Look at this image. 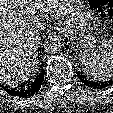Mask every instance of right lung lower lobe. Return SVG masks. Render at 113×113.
<instances>
[{
	"instance_id": "98d812e1",
	"label": "right lung lower lobe",
	"mask_w": 113,
	"mask_h": 113,
	"mask_svg": "<svg viewBox=\"0 0 113 113\" xmlns=\"http://www.w3.org/2000/svg\"><path fill=\"white\" fill-rule=\"evenodd\" d=\"M40 51L39 55L41 54V49H38ZM44 80V71H43V65H40V73L36 80L34 82H31L27 84V87H24L21 85L18 89H8L7 86L4 87L7 93L21 97V98H28L33 95H35L39 90Z\"/></svg>"
}]
</instances>
